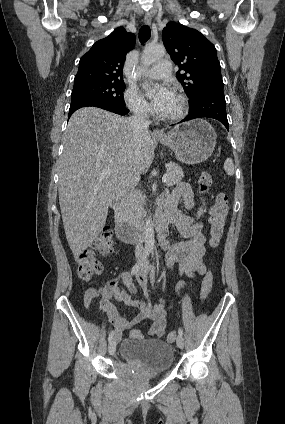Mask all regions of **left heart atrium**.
<instances>
[{"instance_id":"1","label":"left heart atrium","mask_w":285,"mask_h":424,"mask_svg":"<svg viewBox=\"0 0 285 424\" xmlns=\"http://www.w3.org/2000/svg\"><path fill=\"white\" fill-rule=\"evenodd\" d=\"M147 94L151 98L152 109L159 114L166 109L174 96L173 91L166 85L150 87Z\"/></svg>"}]
</instances>
